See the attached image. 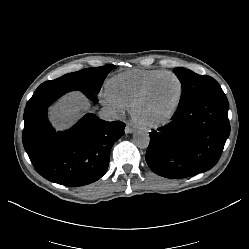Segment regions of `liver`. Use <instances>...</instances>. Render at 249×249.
Listing matches in <instances>:
<instances>
[{
    "label": "liver",
    "instance_id": "obj_1",
    "mask_svg": "<svg viewBox=\"0 0 249 249\" xmlns=\"http://www.w3.org/2000/svg\"><path fill=\"white\" fill-rule=\"evenodd\" d=\"M89 109L90 103L80 92H71L49 108V119L57 130H63L69 128Z\"/></svg>",
    "mask_w": 249,
    "mask_h": 249
}]
</instances>
